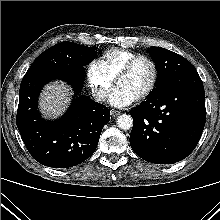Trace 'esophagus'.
<instances>
[{"mask_svg": "<svg viewBox=\"0 0 220 220\" xmlns=\"http://www.w3.org/2000/svg\"><path fill=\"white\" fill-rule=\"evenodd\" d=\"M110 114H111L112 117H116V116H118L120 114V111L112 109L110 111Z\"/></svg>", "mask_w": 220, "mask_h": 220, "instance_id": "34e87169", "label": "esophagus"}]
</instances>
